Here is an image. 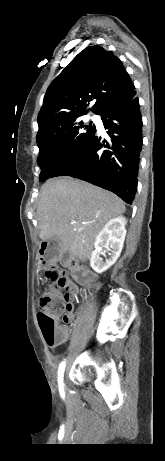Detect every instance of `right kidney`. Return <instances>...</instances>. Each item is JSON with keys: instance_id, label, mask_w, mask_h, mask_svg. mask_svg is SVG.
<instances>
[{"instance_id": "1", "label": "right kidney", "mask_w": 165, "mask_h": 461, "mask_svg": "<svg viewBox=\"0 0 165 461\" xmlns=\"http://www.w3.org/2000/svg\"><path fill=\"white\" fill-rule=\"evenodd\" d=\"M126 223V218L119 216L109 220L99 232L94 243L95 250L90 257V265L95 272H105L120 256L126 236ZM106 253L109 258L103 261L101 255L106 257Z\"/></svg>"}]
</instances>
